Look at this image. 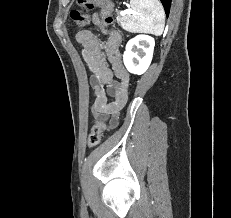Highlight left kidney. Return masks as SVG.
<instances>
[{
  "label": "left kidney",
  "mask_w": 231,
  "mask_h": 218,
  "mask_svg": "<svg viewBox=\"0 0 231 218\" xmlns=\"http://www.w3.org/2000/svg\"><path fill=\"white\" fill-rule=\"evenodd\" d=\"M154 46V38L145 34L129 40L123 55L127 70L133 74H143L152 61Z\"/></svg>",
  "instance_id": "obj_1"
}]
</instances>
